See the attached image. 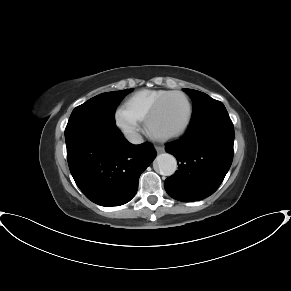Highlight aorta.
<instances>
[{"mask_svg":"<svg viewBox=\"0 0 291 291\" xmlns=\"http://www.w3.org/2000/svg\"><path fill=\"white\" fill-rule=\"evenodd\" d=\"M156 162L161 175L172 176L177 170L176 158L169 154L163 153L157 156Z\"/></svg>","mask_w":291,"mask_h":291,"instance_id":"1","label":"aorta"}]
</instances>
